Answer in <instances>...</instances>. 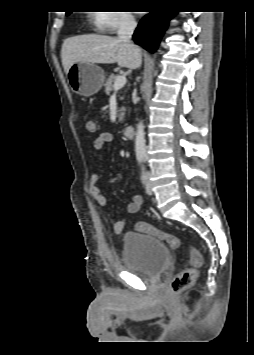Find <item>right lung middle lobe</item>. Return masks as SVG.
I'll return each mask as SVG.
<instances>
[{
  "label": "right lung middle lobe",
  "instance_id": "dd1d6c3e",
  "mask_svg": "<svg viewBox=\"0 0 254 355\" xmlns=\"http://www.w3.org/2000/svg\"><path fill=\"white\" fill-rule=\"evenodd\" d=\"M71 12H67L66 14L69 15Z\"/></svg>",
  "mask_w": 254,
  "mask_h": 355
}]
</instances>
